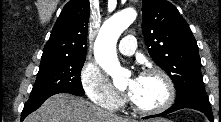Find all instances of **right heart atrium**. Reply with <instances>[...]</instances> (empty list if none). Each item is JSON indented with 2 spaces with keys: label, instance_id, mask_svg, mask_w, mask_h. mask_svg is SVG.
<instances>
[{
  "label": "right heart atrium",
  "instance_id": "right-heart-atrium-1",
  "mask_svg": "<svg viewBox=\"0 0 221 122\" xmlns=\"http://www.w3.org/2000/svg\"><path fill=\"white\" fill-rule=\"evenodd\" d=\"M80 82L85 94L94 104L111 111L123 104V95L112 86L96 63L85 62L80 72Z\"/></svg>",
  "mask_w": 221,
  "mask_h": 122
}]
</instances>
